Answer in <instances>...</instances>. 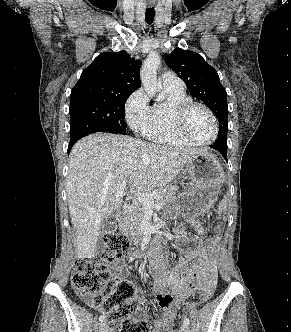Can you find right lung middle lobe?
Returning <instances> with one entry per match:
<instances>
[{
  "mask_svg": "<svg viewBox=\"0 0 291 332\" xmlns=\"http://www.w3.org/2000/svg\"><path fill=\"white\" fill-rule=\"evenodd\" d=\"M131 93H104L71 99V123L83 118L93 119L100 131L126 134L124 107Z\"/></svg>",
  "mask_w": 291,
  "mask_h": 332,
  "instance_id": "obj_1",
  "label": "right lung middle lobe"
}]
</instances>
